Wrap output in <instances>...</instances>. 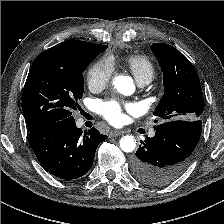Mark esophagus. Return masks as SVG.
<instances>
[{
    "label": "esophagus",
    "mask_w": 224,
    "mask_h": 224,
    "mask_svg": "<svg viewBox=\"0 0 224 224\" xmlns=\"http://www.w3.org/2000/svg\"><path fill=\"white\" fill-rule=\"evenodd\" d=\"M122 134H123V132H121V131H111L109 136L110 137H116V136H120Z\"/></svg>",
    "instance_id": "34e87169"
}]
</instances>
